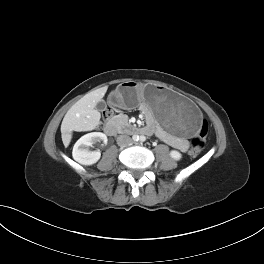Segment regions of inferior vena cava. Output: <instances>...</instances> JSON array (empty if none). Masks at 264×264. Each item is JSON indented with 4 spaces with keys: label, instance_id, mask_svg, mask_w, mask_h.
I'll return each mask as SVG.
<instances>
[{
    "label": "inferior vena cava",
    "instance_id": "1",
    "mask_svg": "<svg viewBox=\"0 0 264 264\" xmlns=\"http://www.w3.org/2000/svg\"><path fill=\"white\" fill-rule=\"evenodd\" d=\"M131 143H132V139L127 135H120L117 138V144L121 147L131 145Z\"/></svg>",
    "mask_w": 264,
    "mask_h": 264
}]
</instances>
